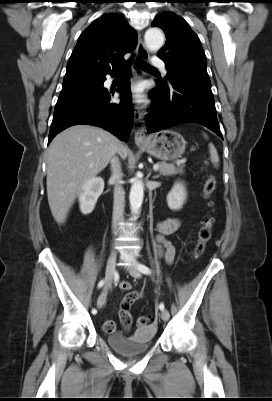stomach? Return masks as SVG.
Instances as JSON below:
<instances>
[{
    "mask_svg": "<svg viewBox=\"0 0 272 401\" xmlns=\"http://www.w3.org/2000/svg\"><path fill=\"white\" fill-rule=\"evenodd\" d=\"M184 137L173 130H163L152 135L147 143L143 144L148 154L163 160H173L180 157L186 148Z\"/></svg>",
    "mask_w": 272,
    "mask_h": 401,
    "instance_id": "obj_1",
    "label": "stomach"
}]
</instances>
